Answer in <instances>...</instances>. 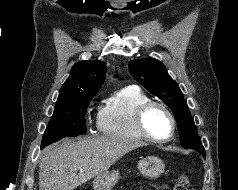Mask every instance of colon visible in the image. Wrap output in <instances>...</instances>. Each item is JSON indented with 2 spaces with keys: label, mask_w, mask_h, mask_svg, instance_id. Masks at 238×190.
<instances>
[{
  "label": "colon",
  "mask_w": 238,
  "mask_h": 190,
  "mask_svg": "<svg viewBox=\"0 0 238 190\" xmlns=\"http://www.w3.org/2000/svg\"><path fill=\"white\" fill-rule=\"evenodd\" d=\"M174 190H189V182L186 177H181L175 185Z\"/></svg>",
  "instance_id": "1"
}]
</instances>
